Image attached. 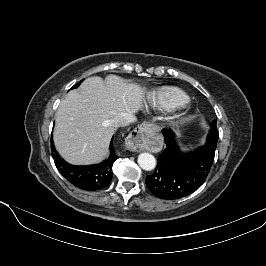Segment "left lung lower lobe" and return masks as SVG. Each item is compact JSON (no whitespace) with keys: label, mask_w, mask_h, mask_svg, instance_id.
<instances>
[{"label":"left lung lower lobe","mask_w":266,"mask_h":266,"mask_svg":"<svg viewBox=\"0 0 266 266\" xmlns=\"http://www.w3.org/2000/svg\"><path fill=\"white\" fill-rule=\"evenodd\" d=\"M163 135L166 148L157 159L155 172L146 177V185L159 198L179 199L202 185L213 164L216 146L206 143L195 151L183 153L172 131L163 130Z\"/></svg>","instance_id":"obj_1"}]
</instances>
